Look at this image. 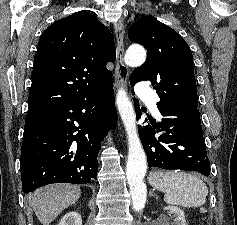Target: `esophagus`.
<instances>
[{"instance_id": "1", "label": "esophagus", "mask_w": 237, "mask_h": 225, "mask_svg": "<svg viewBox=\"0 0 237 225\" xmlns=\"http://www.w3.org/2000/svg\"><path fill=\"white\" fill-rule=\"evenodd\" d=\"M114 32L116 37L117 45V60L115 68V86L116 87H125L127 84V79L129 76V69L124 63V24L122 21H119L114 26ZM121 128V127H120Z\"/></svg>"}]
</instances>
